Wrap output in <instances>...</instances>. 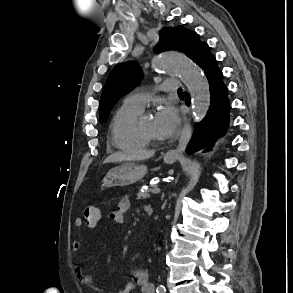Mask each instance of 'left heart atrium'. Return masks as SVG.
<instances>
[{"mask_svg": "<svg viewBox=\"0 0 293 293\" xmlns=\"http://www.w3.org/2000/svg\"><path fill=\"white\" fill-rule=\"evenodd\" d=\"M156 123L164 138L173 136L179 125L177 110L171 105L163 106L156 115Z\"/></svg>", "mask_w": 293, "mask_h": 293, "instance_id": "left-heart-atrium-1", "label": "left heart atrium"}]
</instances>
